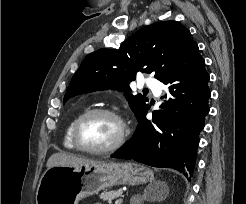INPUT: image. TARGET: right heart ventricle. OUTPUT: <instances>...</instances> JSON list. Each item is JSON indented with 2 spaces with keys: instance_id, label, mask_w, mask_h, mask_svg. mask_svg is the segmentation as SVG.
<instances>
[{
  "instance_id": "e07e8e85",
  "label": "right heart ventricle",
  "mask_w": 246,
  "mask_h": 204,
  "mask_svg": "<svg viewBox=\"0 0 246 204\" xmlns=\"http://www.w3.org/2000/svg\"><path fill=\"white\" fill-rule=\"evenodd\" d=\"M84 112V110H80L78 111L69 121L66 129H65V133H64V138H63V144L67 149L70 150H75L76 147L73 143L72 140V130H73V126L77 120V118Z\"/></svg>"
}]
</instances>
